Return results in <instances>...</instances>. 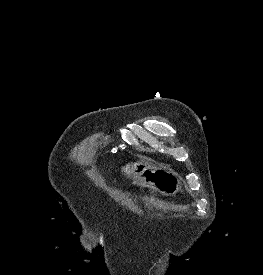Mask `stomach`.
Returning a JSON list of instances; mask_svg holds the SVG:
<instances>
[{
	"label": "stomach",
	"mask_w": 263,
	"mask_h": 275,
	"mask_svg": "<svg viewBox=\"0 0 263 275\" xmlns=\"http://www.w3.org/2000/svg\"><path fill=\"white\" fill-rule=\"evenodd\" d=\"M121 171L133 178L136 183L151 187L164 196H173L181 188L175 172L154 168L144 161L128 163L122 167Z\"/></svg>",
	"instance_id": "stomach-1"
}]
</instances>
